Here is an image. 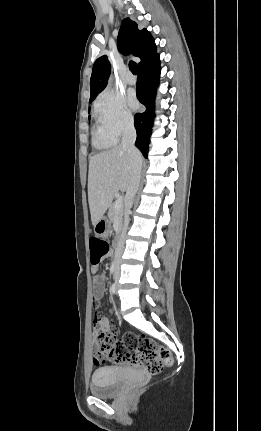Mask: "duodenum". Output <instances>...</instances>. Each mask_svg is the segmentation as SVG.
Here are the masks:
<instances>
[{"label":"duodenum","mask_w":261,"mask_h":431,"mask_svg":"<svg viewBox=\"0 0 261 431\" xmlns=\"http://www.w3.org/2000/svg\"><path fill=\"white\" fill-rule=\"evenodd\" d=\"M119 241H120V234L117 236V239H116V241H115V243H114V246H115V247H117V246H118Z\"/></svg>","instance_id":"obj_1"}]
</instances>
